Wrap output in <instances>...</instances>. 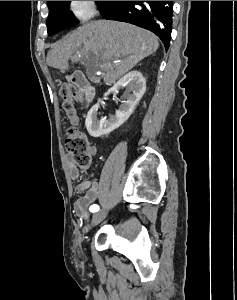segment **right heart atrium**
I'll return each mask as SVG.
<instances>
[{
  "label": "right heart atrium",
  "instance_id": "d8ad5b80",
  "mask_svg": "<svg viewBox=\"0 0 237 300\" xmlns=\"http://www.w3.org/2000/svg\"><path fill=\"white\" fill-rule=\"evenodd\" d=\"M68 10L75 20L85 22L97 11L96 1H68Z\"/></svg>",
  "mask_w": 237,
  "mask_h": 300
}]
</instances>
